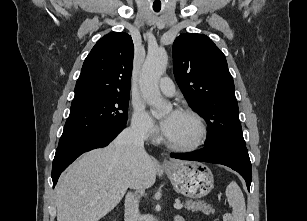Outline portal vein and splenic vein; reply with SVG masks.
I'll return each instance as SVG.
<instances>
[{
	"instance_id": "portal-vein-and-splenic-vein-1",
	"label": "portal vein and splenic vein",
	"mask_w": 307,
	"mask_h": 221,
	"mask_svg": "<svg viewBox=\"0 0 307 221\" xmlns=\"http://www.w3.org/2000/svg\"><path fill=\"white\" fill-rule=\"evenodd\" d=\"M174 208L177 209V210H180V209L183 208V204L177 202V203L174 204Z\"/></svg>"
}]
</instances>
